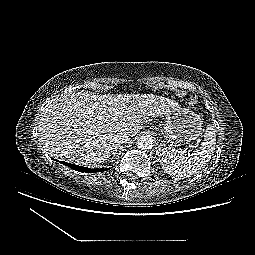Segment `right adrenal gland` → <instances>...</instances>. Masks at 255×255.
I'll return each instance as SVG.
<instances>
[{
    "mask_svg": "<svg viewBox=\"0 0 255 255\" xmlns=\"http://www.w3.org/2000/svg\"><path fill=\"white\" fill-rule=\"evenodd\" d=\"M117 150H118V146H116V147L114 148V151L112 152V155H113V156H116Z\"/></svg>",
    "mask_w": 255,
    "mask_h": 255,
    "instance_id": "right-adrenal-gland-1",
    "label": "right adrenal gland"
}]
</instances>
